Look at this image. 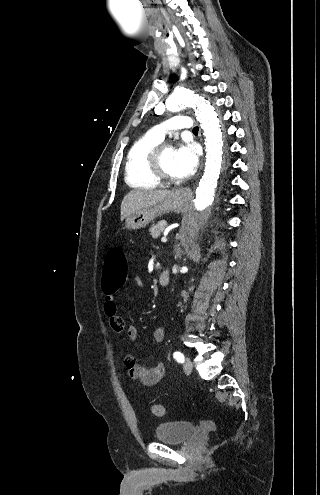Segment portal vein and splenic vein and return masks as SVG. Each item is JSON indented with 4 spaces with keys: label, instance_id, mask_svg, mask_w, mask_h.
I'll return each mask as SVG.
<instances>
[{
    "label": "portal vein and splenic vein",
    "instance_id": "18ae733b",
    "mask_svg": "<svg viewBox=\"0 0 320 495\" xmlns=\"http://www.w3.org/2000/svg\"><path fill=\"white\" fill-rule=\"evenodd\" d=\"M166 239H167L166 237H162L161 240L164 242V241H166Z\"/></svg>",
    "mask_w": 320,
    "mask_h": 495
}]
</instances>
